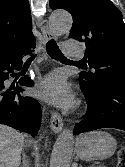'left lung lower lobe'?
<instances>
[{
	"mask_svg": "<svg viewBox=\"0 0 125 167\" xmlns=\"http://www.w3.org/2000/svg\"><path fill=\"white\" fill-rule=\"evenodd\" d=\"M88 112L84 120L75 125L78 135L100 128L125 131V83H106L92 95L85 94Z\"/></svg>",
	"mask_w": 125,
	"mask_h": 167,
	"instance_id": "left-lung-lower-lobe-1",
	"label": "left lung lower lobe"
}]
</instances>
